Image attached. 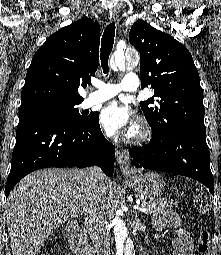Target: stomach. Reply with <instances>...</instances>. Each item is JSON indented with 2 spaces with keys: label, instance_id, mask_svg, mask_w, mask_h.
Masks as SVG:
<instances>
[{
  "label": "stomach",
  "instance_id": "obj_1",
  "mask_svg": "<svg viewBox=\"0 0 221 255\" xmlns=\"http://www.w3.org/2000/svg\"><path fill=\"white\" fill-rule=\"evenodd\" d=\"M126 181L135 191L150 198L162 194L165 187L163 177L156 172L129 174Z\"/></svg>",
  "mask_w": 221,
  "mask_h": 255
}]
</instances>
